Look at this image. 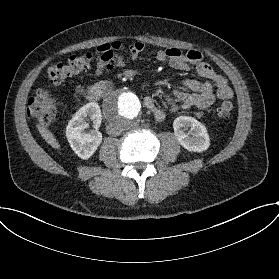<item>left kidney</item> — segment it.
Segmentation results:
<instances>
[{"mask_svg": "<svg viewBox=\"0 0 279 279\" xmlns=\"http://www.w3.org/2000/svg\"><path fill=\"white\" fill-rule=\"evenodd\" d=\"M190 128L192 136L183 131ZM174 134L184 149L189 152H206L210 148V136L204 124L193 117L179 116L173 121Z\"/></svg>", "mask_w": 279, "mask_h": 279, "instance_id": "1", "label": "left kidney"}]
</instances>
